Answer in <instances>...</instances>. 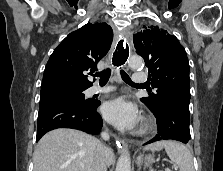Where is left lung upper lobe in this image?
<instances>
[{
    "mask_svg": "<svg viewBox=\"0 0 223 171\" xmlns=\"http://www.w3.org/2000/svg\"><path fill=\"white\" fill-rule=\"evenodd\" d=\"M133 42L136 53L144 58L149 69L152 87L156 88L141 101L154 114L168 101L189 109V62L177 38L158 26H150L135 34Z\"/></svg>",
    "mask_w": 223,
    "mask_h": 171,
    "instance_id": "5c2ea615",
    "label": "left lung upper lobe"
}]
</instances>
